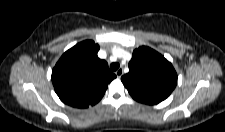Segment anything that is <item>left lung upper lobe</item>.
Listing matches in <instances>:
<instances>
[{"label": "left lung upper lobe", "instance_id": "1", "mask_svg": "<svg viewBox=\"0 0 225 132\" xmlns=\"http://www.w3.org/2000/svg\"><path fill=\"white\" fill-rule=\"evenodd\" d=\"M121 81L136 101L153 105L171 94L177 85V74L164 56L142 46L134 50L129 72Z\"/></svg>", "mask_w": 225, "mask_h": 132}]
</instances>
